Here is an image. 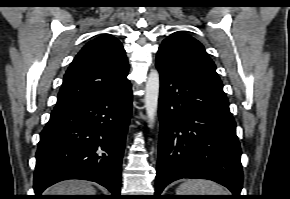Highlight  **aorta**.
Returning <instances> with one entry per match:
<instances>
[{"label":"aorta","mask_w":290,"mask_h":199,"mask_svg":"<svg viewBox=\"0 0 290 199\" xmlns=\"http://www.w3.org/2000/svg\"><path fill=\"white\" fill-rule=\"evenodd\" d=\"M160 78L157 70L149 73L145 84V109L150 126L155 122L158 108Z\"/></svg>","instance_id":"aorta-1"}]
</instances>
